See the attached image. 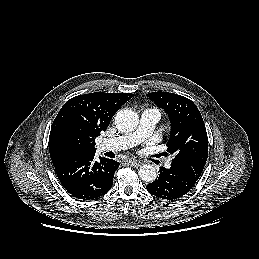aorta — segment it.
Instances as JSON below:
<instances>
[{
  "label": "aorta",
  "mask_w": 259,
  "mask_h": 259,
  "mask_svg": "<svg viewBox=\"0 0 259 259\" xmlns=\"http://www.w3.org/2000/svg\"><path fill=\"white\" fill-rule=\"evenodd\" d=\"M139 118L131 109H122L115 116V125L120 132H131L137 128ZM139 177L145 182H153L157 177V171L150 164L142 165L138 170Z\"/></svg>",
  "instance_id": "aorta-1"
}]
</instances>
